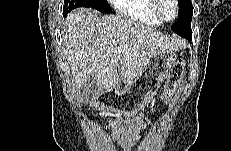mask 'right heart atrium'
Returning a JSON list of instances; mask_svg holds the SVG:
<instances>
[{
	"label": "right heart atrium",
	"mask_w": 231,
	"mask_h": 151,
	"mask_svg": "<svg viewBox=\"0 0 231 151\" xmlns=\"http://www.w3.org/2000/svg\"><path fill=\"white\" fill-rule=\"evenodd\" d=\"M119 0H117V1H114L115 3H117Z\"/></svg>",
	"instance_id": "d8ad5b80"
}]
</instances>
